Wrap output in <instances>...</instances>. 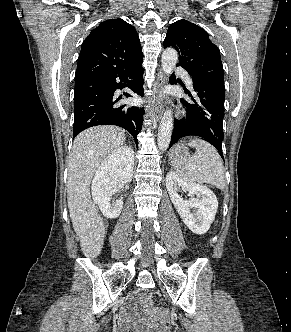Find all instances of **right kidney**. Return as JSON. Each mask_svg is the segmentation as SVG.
Instances as JSON below:
<instances>
[{"label":"right kidney","instance_id":"ca27d5eb","mask_svg":"<svg viewBox=\"0 0 291 332\" xmlns=\"http://www.w3.org/2000/svg\"><path fill=\"white\" fill-rule=\"evenodd\" d=\"M134 152L122 147L108 156L96 170L92 181V197L106 218L114 219L123 208V201L111 203L112 196L118 191V183H129L133 176Z\"/></svg>","mask_w":291,"mask_h":332}]
</instances>
